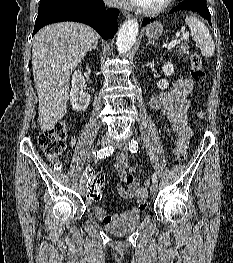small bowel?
<instances>
[{
  "instance_id": "1",
  "label": "small bowel",
  "mask_w": 233,
  "mask_h": 263,
  "mask_svg": "<svg viewBox=\"0 0 233 263\" xmlns=\"http://www.w3.org/2000/svg\"><path fill=\"white\" fill-rule=\"evenodd\" d=\"M193 85L194 83L190 79L178 78L172 83L169 90L155 93L150 99L151 108L171 124L173 132L172 141L174 144L173 152L176 156L182 151H187L189 140L193 134L187 119V111L190 106L188 95L192 91ZM75 143L76 138L72 137L71 146L74 147ZM115 168L121 181L126 184V187L123 184L116 186L118 195L124 200L136 199V204L132 209L133 212L145 209L147 190L139 185L137 179L132 174L126 153L117 155ZM87 200L92 205V211L96 218L103 223L111 222L118 217L116 214H108L102 206L93 205L94 202H89V199Z\"/></svg>"
}]
</instances>
